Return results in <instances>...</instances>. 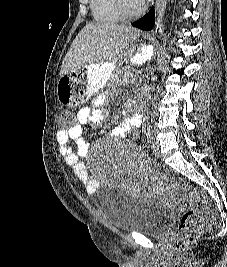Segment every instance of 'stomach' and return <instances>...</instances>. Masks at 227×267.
<instances>
[{
    "instance_id": "0dacf381",
    "label": "stomach",
    "mask_w": 227,
    "mask_h": 267,
    "mask_svg": "<svg viewBox=\"0 0 227 267\" xmlns=\"http://www.w3.org/2000/svg\"><path fill=\"white\" fill-rule=\"evenodd\" d=\"M151 57L150 49L143 45L142 49L129 54L128 61L143 64ZM120 58L80 67L59 78L56 101H62L61 107L81 106L84 100L90 99V94L101 90L120 67Z\"/></svg>"
}]
</instances>
